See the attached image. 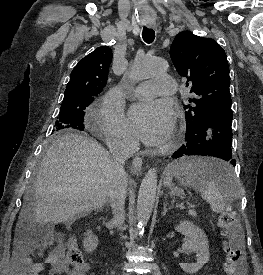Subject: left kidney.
Instances as JSON below:
<instances>
[{
    "instance_id": "obj_1",
    "label": "left kidney",
    "mask_w": 263,
    "mask_h": 275,
    "mask_svg": "<svg viewBox=\"0 0 263 275\" xmlns=\"http://www.w3.org/2000/svg\"><path fill=\"white\" fill-rule=\"evenodd\" d=\"M175 230L185 236L182 249L187 252H195L196 263H180V267L188 274L198 272L209 261L208 239L204 231L189 221H182Z\"/></svg>"
}]
</instances>
